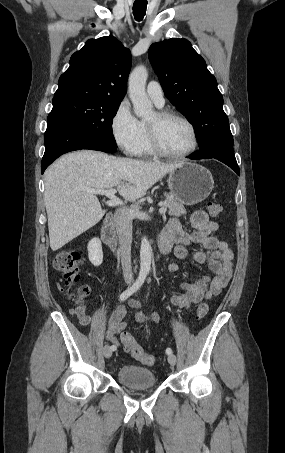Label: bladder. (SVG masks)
Returning <instances> with one entry per match:
<instances>
[{
    "instance_id": "31cf9c89",
    "label": "bladder",
    "mask_w": 285,
    "mask_h": 453,
    "mask_svg": "<svg viewBox=\"0 0 285 453\" xmlns=\"http://www.w3.org/2000/svg\"><path fill=\"white\" fill-rule=\"evenodd\" d=\"M117 380L130 388H150L157 384L155 373L137 365H123L116 373Z\"/></svg>"
}]
</instances>
